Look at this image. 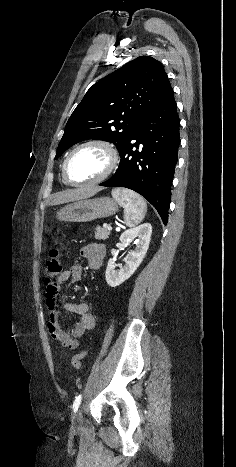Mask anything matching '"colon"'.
I'll return each instance as SVG.
<instances>
[{
    "label": "colon",
    "instance_id": "obj_1",
    "mask_svg": "<svg viewBox=\"0 0 236 467\" xmlns=\"http://www.w3.org/2000/svg\"><path fill=\"white\" fill-rule=\"evenodd\" d=\"M62 258L63 253L59 248L53 247L50 249L48 258L45 262V280L47 283H50L61 273ZM86 354L87 351H83L73 356L71 364L75 370H79L81 368L82 360L84 359Z\"/></svg>",
    "mask_w": 236,
    "mask_h": 467
}]
</instances>
